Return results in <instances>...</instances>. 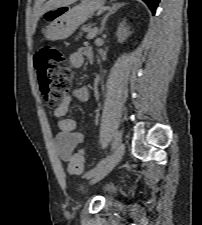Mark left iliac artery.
I'll return each instance as SVG.
<instances>
[{"instance_id": "44dca946", "label": "left iliac artery", "mask_w": 202, "mask_h": 225, "mask_svg": "<svg viewBox=\"0 0 202 225\" xmlns=\"http://www.w3.org/2000/svg\"><path fill=\"white\" fill-rule=\"evenodd\" d=\"M120 138H116L113 143V149L119 144ZM111 159V156H106L104 160H102L95 168L92 169L91 172L85 175L86 178L97 177L104 169L106 163Z\"/></svg>"}]
</instances>
